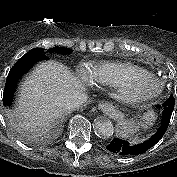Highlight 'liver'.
Segmentation results:
<instances>
[{
  "label": "liver",
  "instance_id": "obj_1",
  "mask_svg": "<svg viewBox=\"0 0 177 177\" xmlns=\"http://www.w3.org/2000/svg\"><path fill=\"white\" fill-rule=\"evenodd\" d=\"M84 90L82 83L62 64L43 62L21 85L14 116L30 134L45 131L64 114L60 102L66 95Z\"/></svg>",
  "mask_w": 177,
  "mask_h": 177
}]
</instances>
